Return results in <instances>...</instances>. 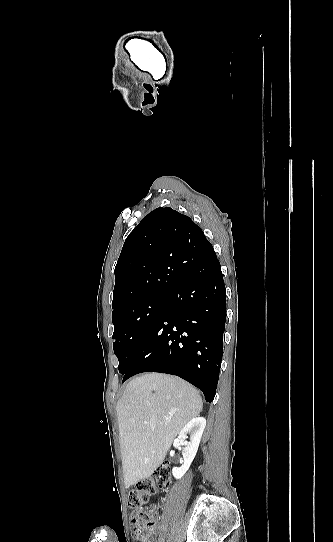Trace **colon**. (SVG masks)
Here are the masks:
<instances>
[{
  "instance_id": "colon-1",
  "label": "colon",
  "mask_w": 333,
  "mask_h": 542,
  "mask_svg": "<svg viewBox=\"0 0 333 542\" xmlns=\"http://www.w3.org/2000/svg\"><path fill=\"white\" fill-rule=\"evenodd\" d=\"M170 467L167 462L157 467L154 475L141 479L137 482L135 489L129 492L128 505L131 507V522L135 526L130 533L133 540H142L151 536L154 532L153 522L155 517L152 512L147 511L148 499L164 489L169 484Z\"/></svg>"
}]
</instances>
